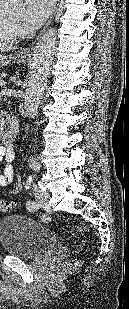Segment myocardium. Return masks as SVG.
I'll return each mask as SVG.
<instances>
[{"instance_id": "myocardium-1", "label": "myocardium", "mask_w": 129, "mask_h": 309, "mask_svg": "<svg viewBox=\"0 0 129 309\" xmlns=\"http://www.w3.org/2000/svg\"><path fill=\"white\" fill-rule=\"evenodd\" d=\"M11 25L16 29L19 30V26L17 23H15L14 21L10 20Z\"/></svg>"}]
</instances>
